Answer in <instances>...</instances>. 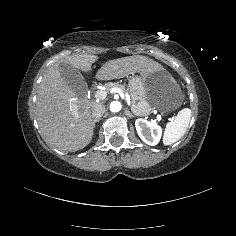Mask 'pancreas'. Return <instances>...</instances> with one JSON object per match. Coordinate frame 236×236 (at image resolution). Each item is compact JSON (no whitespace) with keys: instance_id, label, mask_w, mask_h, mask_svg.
<instances>
[{"instance_id":"1","label":"pancreas","mask_w":236,"mask_h":236,"mask_svg":"<svg viewBox=\"0 0 236 236\" xmlns=\"http://www.w3.org/2000/svg\"><path fill=\"white\" fill-rule=\"evenodd\" d=\"M108 88H120L123 93H127L125 86L119 83H109Z\"/></svg>"}]
</instances>
